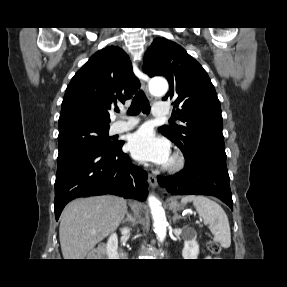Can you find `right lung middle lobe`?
Instances as JSON below:
<instances>
[{
    "label": "right lung middle lobe",
    "instance_id": "dd1d6c3e",
    "mask_svg": "<svg viewBox=\"0 0 287 287\" xmlns=\"http://www.w3.org/2000/svg\"><path fill=\"white\" fill-rule=\"evenodd\" d=\"M108 131L109 125L89 122H76L59 127V152L72 147L111 150L118 142L111 141Z\"/></svg>",
    "mask_w": 287,
    "mask_h": 287
}]
</instances>
